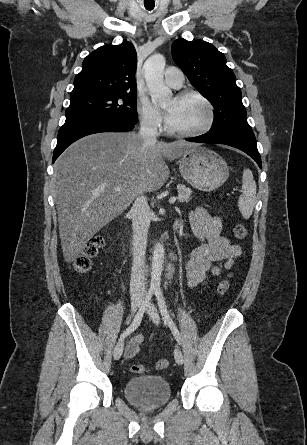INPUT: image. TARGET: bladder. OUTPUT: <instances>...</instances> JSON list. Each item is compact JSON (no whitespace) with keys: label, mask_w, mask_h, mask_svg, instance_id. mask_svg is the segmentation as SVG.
Returning <instances> with one entry per match:
<instances>
[{"label":"bladder","mask_w":307,"mask_h":445,"mask_svg":"<svg viewBox=\"0 0 307 445\" xmlns=\"http://www.w3.org/2000/svg\"><path fill=\"white\" fill-rule=\"evenodd\" d=\"M123 392L131 404L145 410L163 407L172 395L169 382L159 375L130 378L125 382Z\"/></svg>","instance_id":"31cf9c89"}]
</instances>
